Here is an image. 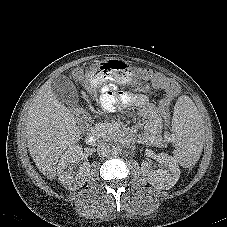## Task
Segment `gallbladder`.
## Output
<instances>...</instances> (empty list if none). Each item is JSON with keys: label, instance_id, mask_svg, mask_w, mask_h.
I'll return each mask as SVG.
<instances>
[{"label": "gallbladder", "instance_id": "1", "mask_svg": "<svg viewBox=\"0 0 227 227\" xmlns=\"http://www.w3.org/2000/svg\"><path fill=\"white\" fill-rule=\"evenodd\" d=\"M51 89L56 98L69 107H76L79 103L78 93L73 82L64 75L52 79Z\"/></svg>", "mask_w": 227, "mask_h": 227}]
</instances>
